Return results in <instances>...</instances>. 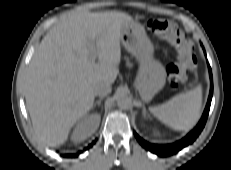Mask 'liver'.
<instances>
[{
	"mask_svg": "<svg viewBox=\"0 0 231 170\" xmlns=\"http://www.w3.org/2000/svg\"><path fill=\"white\" fill-rule=\"evenodd\" d=\"M132 20L123 12L91 13L80 6L61 16L42 39L26 72L24 93L34 133L43 143L64 144L93 107L94 86L116 80L121 27Z\"/></svg>",
	"mask_w": 231,
	"mask_h": 170,
	"instance_id": "6515ba94",
	"label": "liver"
}]
</instances>
